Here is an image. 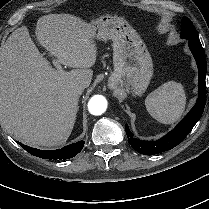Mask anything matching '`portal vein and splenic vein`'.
I'll list each match as a JSON object with an SVG mask.
<instances>
[{
    "label": "portal vein and splenic vein",
    "mask_w": 209,
    "mask_h": 209,
    "mask_svg": "<svg viewBox=\"0 0 209 209\" xmlns=\"http://www.w3.org/2000/svg\"><path fill=\"white\" fill-rule=\"evenodd\" d=\"M53 64L57 68V70H61V65H60V63L58 61L53 60Z\"/></svg>",
    "instance_id": "1"
}]
</instances>
